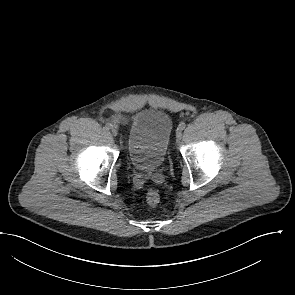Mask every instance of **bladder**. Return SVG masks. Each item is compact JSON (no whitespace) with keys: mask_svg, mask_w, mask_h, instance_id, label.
<instances>
[{"mask_svg":"<svg viewBox=\"0 0 295 295\" xmlns=\"http://www.w3.org/2000/svg\"><path fill=\"white\" fill-rule=\"evenodd\" d=\"M172 134L169 115L159 108L139 111L131 121L127 135L130 162L139 170L150 171L164 162Z\"/></svg>","mask_w":295,"mask_h":295,"instance_id":"1","label":"bladder"}]
</instances>
